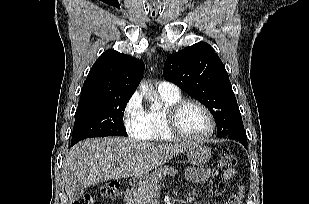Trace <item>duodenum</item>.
I'll list each match as a JSON object with an SVG mask.
<instances>
[{
    "mask_svg": "<svg viewBox=\"0 0 309 204\" xmlns=\"http://www.w3.org/2000/svg\"><path fill=\"white\" fill-rule=\"evenodd\" d=\"M137 184V180L136 179H131L130 180V186L134 187ZM128 197H131V193L128 194Z\"/></svg>",
    "mask_w": 309,
    "mask_h": 204,
    "instance_id": "obj_1",
    "label": "duodenum"
}]
</instances>
